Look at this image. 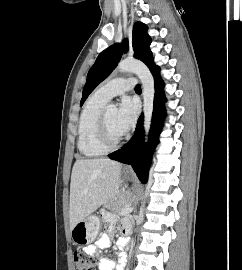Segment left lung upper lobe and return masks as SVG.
I'll list each match as a JSON object with an SVG mask.
<instances>
[{
	"label": "left lung upper lobe",
	"mask_w": 242,
	"mask_h": 270,
	"mask_svg": "<svg viewBox=\"0 0 242 270\" xmlns=\"http://www.w3.org/2000/svg\"><path fill=\"white\" fill-rule=\"evenodd\" d=\"M147 29V26L141 22L134 24L132 46L134 57L144 62L151 70L155 67V64L152 62V53L149 49L151 38L147 34ZM127 51L128 41L124 40L121 44L115 43L99 54L88 72L80 105L84 103L93 89L109 76L119 62L122 53Z\"/></svg>",
	"instance_id": "left-lung-upper-lobe-1"
}]
</instances>
